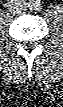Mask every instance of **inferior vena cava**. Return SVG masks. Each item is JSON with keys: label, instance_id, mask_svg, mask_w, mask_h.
I'll list each match as a JSON object with an SVG mask.
<instances>
[{"label": "inferior vena cava", "instance_id": "602c4592", "mask_svg": "<svg viewBox=\"0 0 63 107\" xmlns=\"http://www.w3.org/2000/svg\"><path fill=\"white\" fill-rule=\"evenodd\" d=\"M8 9L11 13L16 15L22 14L27 10L26 4L22 1L9 3Z\"/></svg>", "mask_w": 63, "mask_h": 107}]
</instances>
